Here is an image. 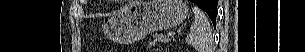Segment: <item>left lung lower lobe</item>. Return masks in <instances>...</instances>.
Here are the masks:
<instances>
[{
  "label": "left lung lower lobe",
  "instance_id": "left-lung-lower-lobe-1",
  "mask_svg": "<svg viewBox=\"0 0 305 52\" xmlns=\"http://www.w3.org/2000/svg\"><path fill=\"white\" fill-rule=\"evenodd\" d=\"M193 3L201 7L210 17L214 26L216 24L217 0H191Z\"/></svg>",
  "mask_w": 305,
  "mask_h": 52
}]
</instances>
